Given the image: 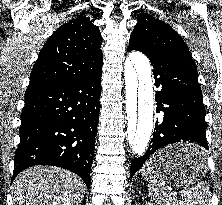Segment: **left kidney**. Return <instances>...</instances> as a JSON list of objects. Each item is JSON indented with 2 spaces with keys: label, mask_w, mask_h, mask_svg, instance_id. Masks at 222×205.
Here are the masks:
<instances>
[{
  "label": "left kidney",
  "mask_w": 222,
  "mask_h": 205,
  "mask_svg": "<svg viewBox=\"0 0 222 205\" xmlns=\"http://www.w3.org/2000/svg\"><path fill=\"white\" fill-rule=\"evenodd\" d=\"M146 205H153V204H151V203H148V204H146Z\"/></svg>",
  "instance_id": "5707ae66"
}]
</instances>
